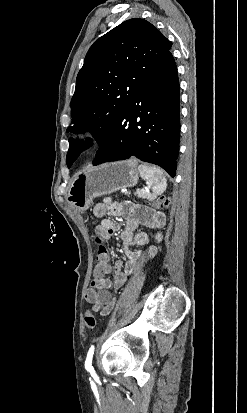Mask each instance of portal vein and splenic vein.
Returning a JSON list of instances; mask_svg holds the SVG:
<instances>
[{
	"mask_svg": "<svg viewBox=\"0 0 247 413\" xmlns=\"http://www.w3.org/2000/svg\"><path fill=\"white\" fill-rule=\"evenodd\" d=\"M141 190H143V192H145L144 188H141Z\"/></svg>",
	"mask_w": 247,
	"mask_h": 413,
	"instance_id": "1",
	"label": "portal vein and splenic vein"
}]
</instances>
